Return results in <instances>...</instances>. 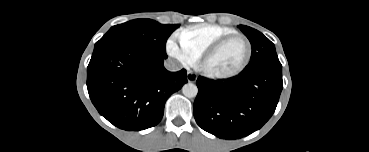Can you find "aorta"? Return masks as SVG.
Listing matches in <instances>:
<instances>
[{
  "label": "aorta",
  "mask_w": 369,
  "mask_h": 152,
  "mask_svg": "<svg viewBox=\"0 0 369 152\" xmlns=\"http://www.w3.org/2000/svg\"><path fill=\"white\" fill-rule=\"evenodd\" d=\"M182 93L188 98H193L197 96L198 88L193 83H186L182 87Z\"/></svg>",
  "instance_id": "762f6f07"
}]
</instances>
